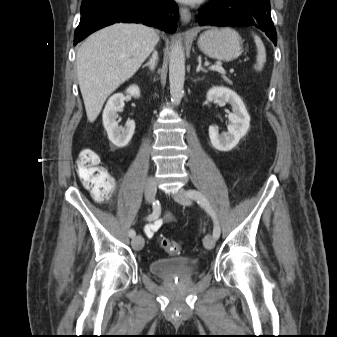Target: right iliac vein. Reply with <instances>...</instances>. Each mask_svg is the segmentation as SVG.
<instances>
[{
  "mask_svg": "<svg viewBox=\"0 0 337 337\" xmlns=\"http://www.w3.org/2000/svg\"><path fill=\"white\" fill-rule=\"evenodd\" d=\"M156 191H157L156 182L153 177H149L146 180V184H145V198L147 202L151 203L154 201ZM131 245L134 250H141L144 246L143 237L140 235L134 237L131 241Z\"/></svg>",
  "mask_w": 337,
  "mask_h": 337,
  "instance_id": "63e3f726",
  "label": "right iliac vein"
}]
</instances>
